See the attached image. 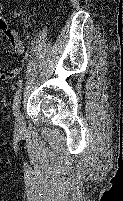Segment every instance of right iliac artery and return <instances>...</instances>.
<instances>
[{"label": "right iliac artery", "instance_id": "1", "mask_svg": "<svg viewBox=\"0 0 123 201\" xmlns=\"http://www.w3.org/2000/svg\"><path fill=\"white\" fill-rule=\"evenodd\" d=\"M21 86L17 90L16 95L14 97V102H13V110H14V115L17 116L19 112V107H20V98H21Z\"/></svg>", "mask_w": 123, "mask_h": 201}]
</instances>
